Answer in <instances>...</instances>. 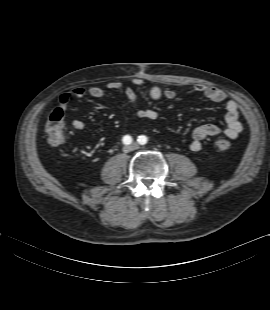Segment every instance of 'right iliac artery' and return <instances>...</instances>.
Returning <instances> with one entry per match:
<instances>
[{
	"mask_svg": "<svg viewBox=\"0 0 270 310\" xmlns=\"http://www.w3.org/2000/svg\"><path fill=\"white\" fill-rule=\"evenodd\" d=\"M123 143L126 144V145H129L132 143V138L131 136L129 135H125L122 139Z\"/></svg>",
	"mask_w": 270,
	"mask_h": 310,
	"instance_id": "right-iliac-artery-1",
	"label": "right iliac artery"
}]
</instances>
